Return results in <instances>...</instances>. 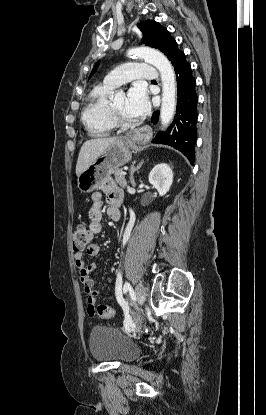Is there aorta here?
Masks as SVG:
<instances>
[{"label": "aorta", "mask_w": 266, "mask_h": 415, "mask_svg": "<svg viewBox=\"0 0 266 415\" xmlns=\"http://www.w3.org/2000/svg\"><path fill=\"white\" fill-rule=\"evenodd\" d=\"M128 54L144 59L158 69L162 81L160 120L162 127L166 128L173 119L176 110V77L171 63L161 52L148 47L132 49Z\"/></svg>", "instance_id": "1"}]
</instances>
